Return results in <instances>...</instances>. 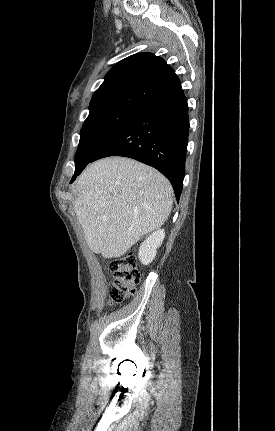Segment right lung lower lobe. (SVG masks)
<instances>
[{
  "mask_svg": "<svg viewBox=\"0 0 275 431\" xmlns=\"http://www.w3.org/2000/svg\"><path fill=\"white\" fill-rule=\"evenodd\" d=\"M188 133V105L180 84L139 108L89 163L108 156L143 162L169 179L178 201L185 176ZM82 170L74 174L71 183Z\"/></svg>",
  "mask_w": 275,
  "mask_h": 431,
  "instance_id": "obj_1",
  "label": "right lung lower lobe"
}]
</instances>
